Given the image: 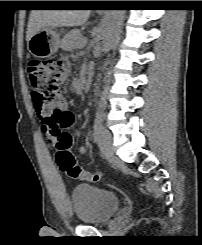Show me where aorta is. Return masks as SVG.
I'll use <instances>...</instances> for the list:
<instances>
[{
    "mask_svg": "<svg viewBox=\"0 0 202 245\" xmlns=\"http://www.w3.org/2000/svg\"><path fill=\"white\" fill-rule=\"evenodd\" d=\"M125 16V10H110L106 22L102 41V52L108 53L119 33Z\"/></svg>",
    "mask_w": 202,
    "mask_h": 245,
    "instance_id": "1",
    "label": "aorta"
}]
</instances>
